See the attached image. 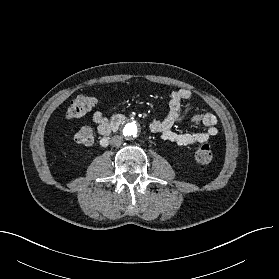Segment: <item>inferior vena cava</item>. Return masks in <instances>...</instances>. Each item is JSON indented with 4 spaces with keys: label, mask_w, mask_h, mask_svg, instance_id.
<instances>
[{
    "label": "inferior vena cava",
    "mask_w": 279,
    "mask_h": 279,
    "mask_svg": "<svg viewBox=\"0 0 279 279\" xmlns=\"http://www.w3.org/2000/svg\"><path fill=\"white\" fill-rule=\"evenodd\" d=\"M123 143V138L119 135L113 136L110 140V144L114 147H118Z\"/></svg>",
    "instance_id": "inferior-vena-cava-1"
}]
</instances>
